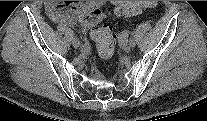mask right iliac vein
<instances>
[{
    "label": "right iliac vein",
    "instance_id": "right-iliac-vein-1",
    "mask_svg": "<svg viewBox=\"0 0 207 121\" xmlns=\"http://www.w3.org/2000/svg\"><path fill=\"white\" fill-rule=\"evenodd\" d=\"M72 45H73L74 48H78L79 45H80V43H79V41H78L77 39H74V40L72 41Z\"/></svg>",
    "mask_w": 207,
    "mask_h": 121
}]
</instances>
